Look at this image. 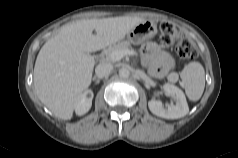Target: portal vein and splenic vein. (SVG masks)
Returning <instances> with one entry per match:
<instances>
[{"label": "portal vein and splenic vein", "instance_id": "obj_1", "mask_svg": "<svg viewBox=\"0 0 238 158\" xmlns=\"http://www.w3.org/2000/svg\"><path fill=\"white\" fill-rule=\"evenodd\" d=\"M136 53L132 50H118V51H114L110 54V58L113 61H119L121 60L124 56L126 55H135Z\"/></svg>", "mask_w": 238, "mask_h": 158}]
</instances>
